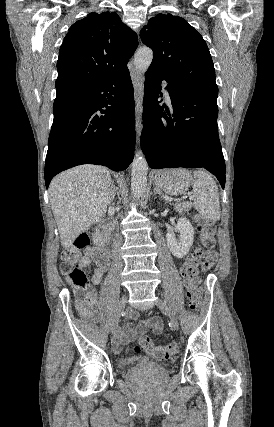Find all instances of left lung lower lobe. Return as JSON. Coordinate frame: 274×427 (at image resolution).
Listing matches in <instances>:
<instances>
[{"instance_id":"left-lung-lower-lobe-1","label":"left lung lower lobe","mask_w":274,"mask_h":427,"mask_svg":"<svg viewBox=\"0 0 274 427\" xmlns=\"http://www.w3.org/2000/svg\"><path fill=\"white\" fill-rule=\"evenodd\" d=\"M172 106L159 105L161 81ZM141 146L151 168L202 167L225 186V162L218 135L217 94L189 88L148 69L145 74Z\"/></svg>"}]
</instances>
